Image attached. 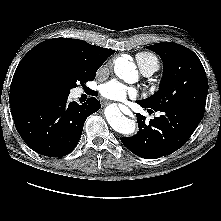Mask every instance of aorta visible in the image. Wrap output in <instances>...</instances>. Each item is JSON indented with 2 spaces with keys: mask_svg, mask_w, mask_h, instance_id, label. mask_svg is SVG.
I'll list each match as a JSON object with an SVG mask.
<instances>
[{
  "mask_svg": "<svg viewBox=\"0 0 221 221\" xmlns=\"http://www.w3.org/2000/svg\"><path fill=\"white\" fill-rule=\"evenodd\" d=\"M115 73L127 83H133L138 78L135 64L125 58L117 59ZM105 116L110 126L118 133L129 135L136 130L135 121L125 117L116 105L108 106L105 110Z\"/></svg>",
  "mask_w": 221,
  "mask_h": 221,
  "instance_id": "obj_1",
  "label": "aorta"
}]
</instances>
